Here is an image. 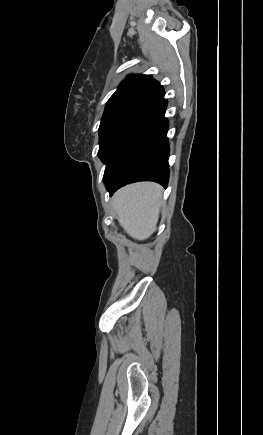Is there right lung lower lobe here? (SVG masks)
Wrapping results in <instances>:
<instances>
[{"label": "right lung lower lobe", "instance_id": "obj_1", "mask_svg": "<svg viewBox=\"0 0 263 435\" xmlns=\"http://www.w3.org/2000/svg\"><path fill=\"white\" fill-rule=\"evenodd\" d=\"M164 95L162 92L144 105L126 130L116 154L106 165L104 183L110 195L137 181H155L167 186L169 144Z\"/></svg>", "mask_w": 263, "mask_h": 435}]
</instances>
